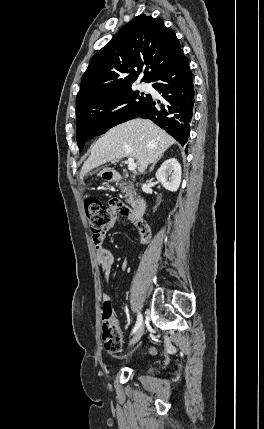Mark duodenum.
<instances>
[{
    "mask_svg": "<svg viewBox=\"0 0 264 429\" xmlns=\"http://www.w3.org/2000/svg\"><path fill=\"white\" fill-rule=\"evenodd\" d=\"M111 178L114 181H120L124 177L119 173H113ZM132 207H133V210L131 213L132 221L135 223L141 222L143 220V215L147 207L145 199L140 196L136 197L133 201Z\"/></svg>",
    "mask_w": 264,
    "mask_h": 429,
    "instance_id": "duodenum-1",
    "label": "duodenum"
}]
</instances>
